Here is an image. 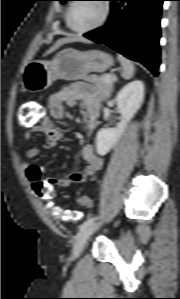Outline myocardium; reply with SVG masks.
Instances as JSON below:
<instances>
[{
  "mask_svg": "<svg viewBox=\"0 0 180 299\" xmlns=\"http://www.w3.org/2000/svg\"><path fill=\"white\" fill-rule=\"evenodd\" d=\"M76 1L77 0H73V2H71L69 4V7L66 12V24L72 32L77 33V34H85V33L92 32L94 30L99 29L107 22L110 12H111V6L107 0H97L100 2L101 6H102V15H101V18L99 19V21L97 23H95L94 25L87 27V28H83V29H77V28L73 27L71 24V12H72L74 5L77 3Z\"/></svg>",
  "mask_w": 180,
  "mask_h": 299,
  "instance_id": "1",
  "label": "myocardium"
}]
</instances>
